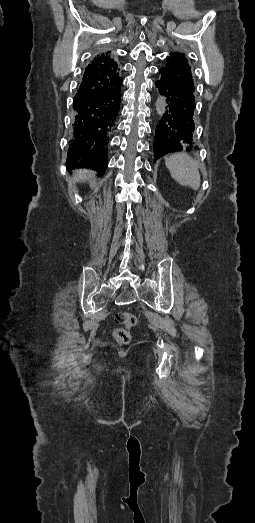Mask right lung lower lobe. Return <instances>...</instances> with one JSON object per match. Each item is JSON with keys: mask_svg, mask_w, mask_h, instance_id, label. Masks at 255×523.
Segmentation results:
<instances>
[{"mask_svg": "<svg viewBox=\"0 0 255 523\" xmlns=\"http://www.w3.org/2000/svg\"><path fill=\"white\" fill-rule=\"evenodd\" d=\"M99 107H100V98L98 96H91L89 98V101L81 100L79 102V111L81 113H83V117H84L83 118V136L85 138H92V137H96L98 135V132L100 129ZM83 151L86 154L93 153L94 141L92 139H85L83 141ZM69 168H71V167H69Z\"/></svg>", "mask_w": 255, "mask_h": 523, "instance_id": "obj_1", "label": "right lung lower lobe"}]
</instances>
